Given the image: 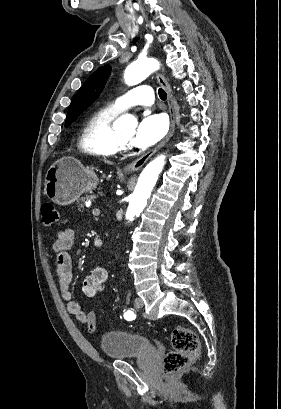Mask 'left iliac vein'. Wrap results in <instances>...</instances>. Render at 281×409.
<instances>
[{
  "label": "left iliac vein",
  "instance_id": "1",
  "mask_svg": "<svg viewBox=\"0 0 281 409\" xmlns=\"http://www.w3.org/2000/svg\"><path fill=\"white\" fill-rule=\"evenodd\" d=\"M134 306L136 309H140L144 306V302L141 298L137 297L134 301Z\"/></svg>",
  "mask_w": 281,
  "mask_h": 409
}]
</instances>
